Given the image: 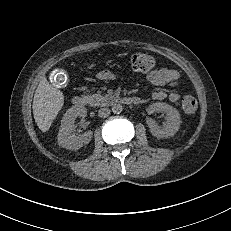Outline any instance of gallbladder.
Segmentation results:
<instances>
[{"mask_svg":"<svg viewBox=\"0 0 231 231\" xmlns=\"http://www.w3.org/2000/svg\"><path fill=\"white\" fill-rule=\"evenodd\" d=\"M50 81L56 88H63L68 83V75L62 69H55L50 74Z\"/></svg>","mask_w":231,"mask_h":231,"instance_id":"bac80fb5","label":"gallbladder"}]
</instances>
